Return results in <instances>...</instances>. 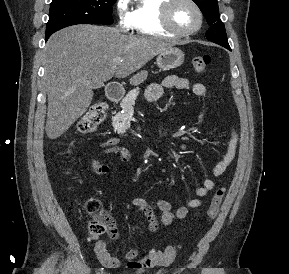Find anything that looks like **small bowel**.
<instances>
[{"instance_id":"c3829d8e","label":"small bowel","mask_w":289,"mask_h":274,"mask_svg":"<svg viewBox=\"0 0 289 274\" xmlns=\"http://www.w3.org/2000/svg\"><path fill=\"white\" fill-rule=\"evenodd\" d=\"M192 89V92L198 96L205 98L207 97L206 86L202 83H194L192 86L186 78H181L175 75L167 76L160 84H151L148 86L145 92V98L150 101H155L159 99L164 92V89H177L186 90ZM116 142V139L110 141V143ZM238 144V133L236 130L231 131L230 138L226 143V148L222 159L218 161L213 169L212 174L214 176H219L223 174L233 159L235 158ZM106 153L115 154L118 159L122 162H126L130 158V153L128 149L124 147H109L106 149ZM92 168L97 174H107L110 170L108 164H102L98 160H93ZM215 188V182L212 179H205L202 184L197 187L194 191L195 197L188 200L183 206L174 209L171 204L163 199H155L151 202L146 201L141 196H136L133 199L134 206L142 212L149 222V229L155 232L159 227V222L163 226L170 225L174 219H183L187 216L190 209L199 208L202 205V198L205 197L210 191ZM156 211L160 213V218L156 217ZM117 232L112 234L110 237L115 239L117 237ZM95 254L101 263V265L108 269L118 268L121 265V259L112 256L104 241L99 240L94 246ZM138 254L136 249L130 250L126 256L125 260L130 262L133 261Z\"/></svg>"}]
</instances>
